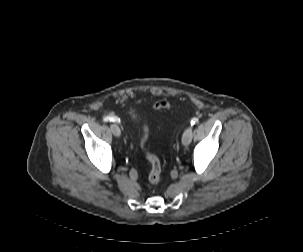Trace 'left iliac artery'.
I'll list each match as a JSON object with an SVG mask.
<instances>
[{
    "mask_svg": "<svg viewBox=\"0 0 303 252\" xmlns=\"http://www.w3.org/2000/svg\"><path fill=\"white\" fill-rule=\"evenodd\" d=\"M197 122H198V118H192L190 124H191V126H193Z\"/></svg>",
    "mask_w": 303,
    "mask_h": 252,
    "instance_id": "1",
    "label": "left iliac artery"
}]
</instances>
